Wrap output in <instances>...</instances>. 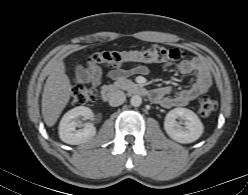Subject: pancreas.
I'll use <instances>...</instances> for the list:
<instances>
[{"mask_svg":"<svg viewBox=\"0 0 248 195\" xmlns=\"http://www.w3.org/2000/svg\"><path fill=\"white\" fill-rule=\"evenodd\" d=\"M119 83L121 84V86L125 87L127 84H132V82L130 80H126V79H122L119 81Z\"/></svg>","mask_w":248,"mask_h":195,"instance_id":"1","label":"pancreas"}]
</instances>
